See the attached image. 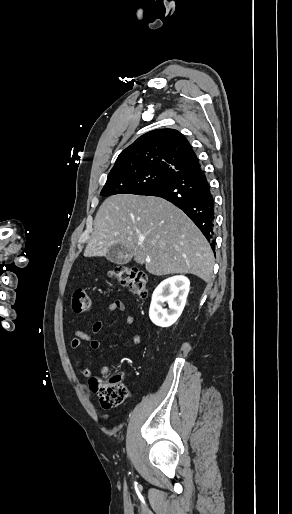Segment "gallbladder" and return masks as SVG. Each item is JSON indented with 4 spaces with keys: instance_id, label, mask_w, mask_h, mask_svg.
I'll use <instances>...</instances> for the list:
<instances>
[{
    "instance_id": "gallbladder-1",
    "label": "gallbladder",
    "mask_w": 292,
    "mask_h": 514,
    "mask_svg": "<svg viewBox=\"0 0 292 514\" xmlns=\"http://www.w3.org/2000/svg\"><path fill=\"white\" fill-rule=\"evenodd\" d=\"M107 260L113 262V264H127L129 260V256L126 254V250H124L121 244H114L109 248V252L106 254Z\"/></svg>"
}]
</instances>
